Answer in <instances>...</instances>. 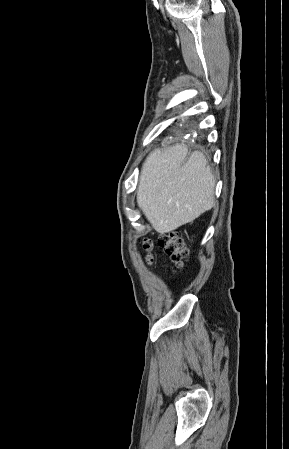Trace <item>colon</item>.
Returning a JSON list of instances; mask_svg holds the SVG:
<instances>
[{
    "instance_id": "obj_1",
    "label": "colon",
    "mask_w": 289,
    "mask_h": 449,
    "mask_svg": "<svg viewBox=\"0 0 289 449\" xmlns=\"http://www.w3.org/2000/svg\"><path fill=\"white\" fill-rule=\"evenodd\" d=\"M160 245L164 248L165 253L179 266L184 265V260L188 256V249L181 237L171 232L163 235L159 240ZM143 249L147 252V261H152L151 250L152 242L149 239L143 241Z\"/></svg>"
}]
</instances>
